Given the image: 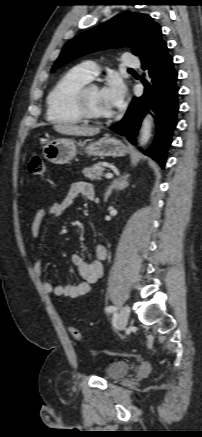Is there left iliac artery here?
I'll return each mask as SVG.
<instances>
[{
	"label": "left iliac artery",
	"instance_id": "44dca946",
	"mask_svg": "<svg viewBox=\"0 0 202 437\" xmlns=\"http://www.w3.org/2000/svg\"><path fill=\"white\" fill-rule=\"evenodd\" d=\"M105 310H106V312H114V311H116V307L115 306H108Z\"/></svg>",
	"mask_w": 202,
	"mask_h": 437
}]
</instances>
